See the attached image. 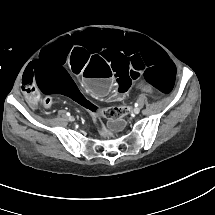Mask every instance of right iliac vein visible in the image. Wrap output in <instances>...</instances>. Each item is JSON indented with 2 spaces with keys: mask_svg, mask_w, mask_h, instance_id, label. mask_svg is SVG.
Listing matches in <instances>:
<instances>
[{
  "mask_svg": "<svg viewBox=\"0 0 215 215\" xmlns=\"http://www.w3.org/2000/svg\"><path fill=\"white\" fill-rule=\"evenodd\" d=\"M68 120L69 121H74V118L73 117H69Z\"/></svg>",
  "mask_w": 215,
  "mask_h": 215,
  "instance_id": "obj_1",
  "label": "right iliac vein"
}]
</instances>
